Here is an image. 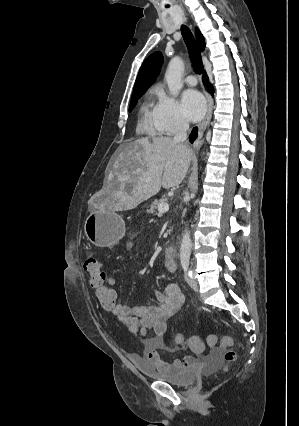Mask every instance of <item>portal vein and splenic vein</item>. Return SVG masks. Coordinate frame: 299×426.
Returning a JSON list of instances; mask_svg holds the SVG:
<instances>
[{"label":"portal vein and splenic vein","mask_w":299,"mask_h":426,"mask_svg":"<svg viewBox=\"0 0 299 426\" xmlns=\"http://www.w3.org/2000/svg\"><path fill=\"white\" fill-rule=\"evenodd\" d=\"M169 210V204L168 203H161L158 206V212L159 214L165 213Z\"/></svg>","instance_id":"18ae733b"}]
</instances>
